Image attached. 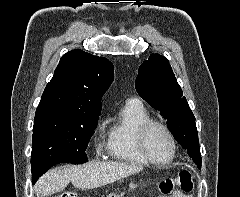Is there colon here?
Returning a JSON list of instances; mask_svg holds the SVG:
<instances>
[{"label": "colon", "instance_id": "colon-1", "mask_svg": "<svg viewBox=\"0 0 240 197\" xmlns=\"http://www.w3.org/2000/svg\"><path fill=\"white\" fill-rule=\"evenodd\" d=\"M178 186L183 192H190L193 189V178L192 173L188 170H183L177 177H172L159 186L160 191L163 194H170L173 189ZM56 197H78L75 192H64ZM108 197H121L120 194H111Z\"/></svg>", "mask_w": 240, "mask_h": 197}]
</instances>
